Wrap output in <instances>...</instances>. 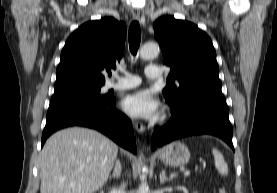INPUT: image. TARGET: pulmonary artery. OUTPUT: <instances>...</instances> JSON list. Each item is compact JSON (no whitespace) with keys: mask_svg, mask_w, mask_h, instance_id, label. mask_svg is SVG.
<instances>
[{"mask_svg":"<svg viewBox=\"0 0 277 193\" xmlns=\"http://www.w3.org/2000/svg\"><path fill=\"white\" fill-rule=\"evenodd\" d=\"M146 77L156 79L161 76V71L158 67L149 65L145 69ZM141 83V79L137 75L125 74L124 76L116 75L115 81H109L106 84V89L126 90L137 87Z\"/></svg>","mask_w":277,"mask_h":193,"instance_id":"e3ab8cb5","label":"pulmonary artery"}]
</instances>
